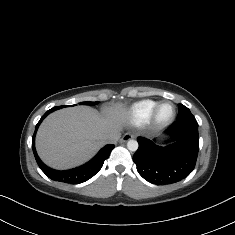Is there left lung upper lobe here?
<instances>
[{
	"label": "left lung upper lobe",
	"mask_w": 235,
	"mask_h": 235,
	"mask_svg": "<svg viewBox=\"0 0 235 235\" xmlns=\"http://www.w3.org/2000/svg\"><path fill=\"white\" fill-rule=\"evenodd\" d=\"M179 113H178V116H177V120L178 122H194L196 123V119L195 117L192 115V113L190 112V110L182 105V104H179Z\"/></svg>",
	"instance_id": "left-lung-upper-lobe-1"
}]
</instances>
